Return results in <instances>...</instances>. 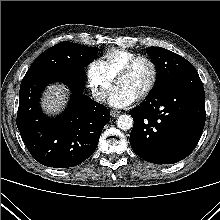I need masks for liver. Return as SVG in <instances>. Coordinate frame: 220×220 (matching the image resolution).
<instances>
[{
    "instance_id": "obj_1",
    "label": "liver",
    "mask_w": 220,
    "mask_h": 220,
    "mask_svg": "<svg viewBox=\"0 0 220 220\" xmlns=\"http://www.w3.org/2000/svg\"><path fill=\"white\" fill-rule=\"evenodd\" d=\"M66 95L67 89L64 85L49 86L42 99L43 109L50 114L60 112L66 103Z\"/></svg>"
}]
</instances>
